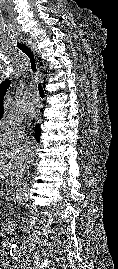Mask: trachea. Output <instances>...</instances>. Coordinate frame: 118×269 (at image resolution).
I'll list each match as a JSON object with an SVG mask.
<instances>
[{
	"label": "trachea",
	"mask_w": 118,
	"mask_h": 269,
	"mask_svg": "<svg viewBox=\"0 0 118 269\" xmlns=\"http://www.w3.org/2000/svg\"><path fill=\"white\" fill-rule=\"evenodd\" d=\"M17 47L22 50L30 59V63H31V69L32 71L36 72L37 66H36V60L34 57V54L32 52V50L25 44L23 43H17ZM38 91L40 95H44L45 91H44V86H42V84H38Z\"/></svg>",
	"instance_id": "3493384b"
}]
</instances>
